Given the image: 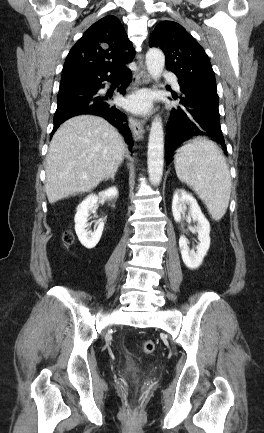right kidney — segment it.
Here are the masks:
<instances>
[{
	"mask_svg": "<svg viewBox=\"0 0 264 433\" xmlns=\"http://www.w3.org/2000/svg\"><path fill=\"white\" fill-rule=\"evenodd\" d=\"M118 196V190L116 187H111L103 192H100L99 195L91 194L87 196L77 207V212L74 218L75 221V231L78 236L81 244L88 248H94L102 235L104 223L102 220H98L96 222L97 228L94 231H88L87 227L89 226L88 217L89 212L95 213L97 209L98 198L104 199H114Z\"/></svg>",
	"mask_w": 264,
	"mask_h": 433,
	"instance_id": "right-kidney-1",
	"label": "right kidney"
}]
</instances>
